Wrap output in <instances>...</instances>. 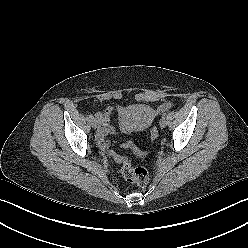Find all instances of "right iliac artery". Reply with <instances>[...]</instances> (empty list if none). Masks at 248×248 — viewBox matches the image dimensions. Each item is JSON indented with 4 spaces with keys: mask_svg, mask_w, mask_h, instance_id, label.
<instances>
[{
    "mask_svg": "<svg viewBox=\"0 0 248 248\" xmlns=\"http://www.w3.org/2000/svg\"><path fill=\"white\" fill-rule=\"evenodd\" d=\"M88 118H89V119H94V116H93L92 114H89V115H88Z\"/></svg>",
    "mask_w": 248,
    "mask_h": 248,
    "instance_id": "1",
    "label": "right iliac artery"
}]
</instances>
